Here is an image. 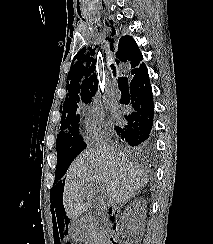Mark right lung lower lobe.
I'll list each match as a JSON object with an SVG mask.
<instances>
[{
	"mask_svg": "<svg viewBox=\"0 0 213 244\" xmlns=\"http://www.w3.org/2000/svg\"><path fill=\"white\" fill-rule=\"evenodd\" d=\"M130 93L133 111L124 116L125 123L115 126V130L136 155L148 159L154 152L150 133L153 125L154 105L147 68L131 82Z\"/></svg>",
	"mask_w": 213,
	"mask_h": 244,
	"instance_id": "1",
	"label": "right lung lower lobe"
}]
</instances>
